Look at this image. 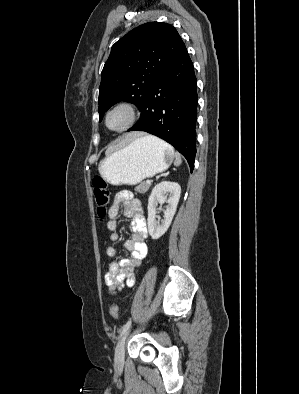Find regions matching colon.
Listing matches in <instances>:
<instances>
[{
    "label": "colon",
    "mask_w": 299,
    "mask_h": 394,
    "mask_svg": "<svg viewBox=\"0 0 299 394\" xmlns=\"http://www.w3.org/2000/svg\"><path fill=\"white\" fill-rule=\"evenodd\" d=\"M93 194L95 203L97 206V214L100 218H104L107 215V208L110 202V191L108 183L101 175H96L92 181ZM110 316L114 319L118 317L119 310L116 304H112L110 307Z\"/></svg>",
    "instance_id": "obj_1"
}]
</instances>
